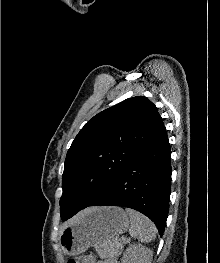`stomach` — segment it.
I'll return each instance as SVG.
<instances>
[{
  "label": "stomach",
  "mask_w": 220,
  "mask_h": 263,
  "mask_svg": "<svg viewBox=\"0 0 220 263\" xmlns=\"http://www.w3.org/2000/svg\"><path fill=\"white\" fill-rule=\"evenodd\" d=\"M129 218L120 207L105 206L87 209L59 236L63 252L69 256L86 251L90 246L100 247L129 228Z\"/></svg>",
  "instance_id": "stomach-1"
}]
</instances>
